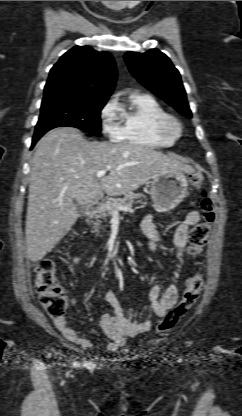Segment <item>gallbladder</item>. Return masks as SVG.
<instances>
[{"label":"gallbladder","mask_w":242,"mask_h":416,"mask_svg":"<svg viewBox=\"0 0 242 416\" xmlns=\"http://www.w3.org/2000/svg\"><path fill=\"white\" fill-rule=\"evenodd\" d=\"M75 205H76V209H77L78 215L79 216L85 215L86 206L85 205H82V204H80L78 202H75Z\"/></svg>","instance_id":"1"}]
</instances>
